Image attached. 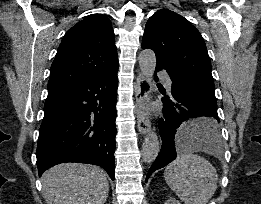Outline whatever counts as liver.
Masks as SVG:
<instances>
[{
  "label": "liver",
  "mask_w": 261,
  "mask_h": 204,
  "mask_svg": "<svg viewBox=\"0 0 261 204\" xmlns=\"http://www.w3.org/2000/svg\"><path fill=\"white\" fill-rule=\"evenodd\" d=\"M42 184L45 197L54 204H104L109 193L103 169L78 163L50 168Z\"/></svg>",
  "instance_id": "1"
}]
</instances>
